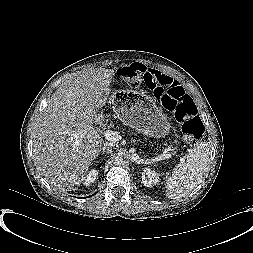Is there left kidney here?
Listing matches in <instances>:
<instances>
[{"mask_svg":"<svg viewBox=\"0 0 253 253\" xmlns=\"http://www.w3.org/2000/svg\"><path fill=\"white\" fill-rule=\"evenodd\" d=\"M159 182L158 174L150 168H145L142 172V183L147 187H152Z\"/></svg>","mask_w":253,"mask_h":253,"instance_id":"1","label":"left kidney"}]
</instances>
